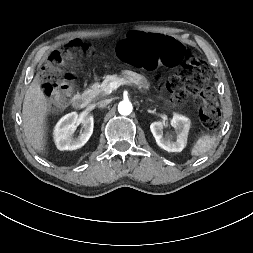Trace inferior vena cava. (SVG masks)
Instances as JSON below:
<instances>
[{
	"mask_svg": "<svg viewBox=\"0 0 253 253\" xmlns=\"http://www.w3.org/2000/svg\"><path fill=\"white\" fill-rule=\"evenodd\" d=\"M110 103V101L108 99H105V100H101L97 103V105L101 108L107 106L108 104Z\"/></svg>",
	"mask_w": 253,
	"mask_h": 253,
	"instance_id": "1",
	"label": "inferior vena cava"
}]
</instances>
